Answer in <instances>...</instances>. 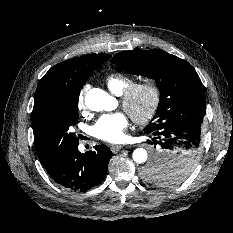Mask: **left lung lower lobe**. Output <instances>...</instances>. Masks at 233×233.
<instances>
[{
    "mask_svg": "<svg viewBox=\"0 0 233 233\" xmlns=\"http://www.w3.org/2000/svg\"><path fill=\"white\" fill-rule=\"evenodd\" d=\"M201 124L202 121L199 119L183 118L167 121L155 130L145 128L146 134L154 136L148 143L155 145L154 147H157L159 152L154 155L151 162L164 164L183 155L200 157L202 152ZM161 153L168 154L165 162L160 159Z\"/></svg>",
    "mask_w": 233,
    "mask_h": 233,
    "instance_id": "obj_1",
    "label": "left lung lower lobe"
}]
</instances>
